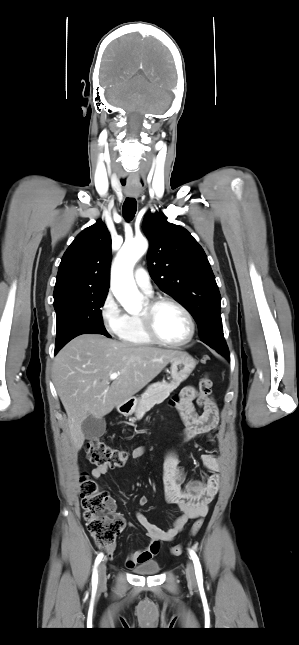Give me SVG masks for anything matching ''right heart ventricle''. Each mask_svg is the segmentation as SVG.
I'll return each mask as SVG.
<instances>
[{
    "instance_id": "e07e8e85",
    "label": "right heart ventricle",
    "mask_w": 299,
    "mask_h": 645,
    "mask_svg": "<svg viewBox=\"0 0 299 645\" xmlns=\"http://www.w3.org/2000/svg\"><path fill=\"white\" fill-rule=\"evenodd\" d=\"M119 337L123 342L136 346L154 343L144 331L139 314H126V322Z\"/></svg>"
}]
</instances>
